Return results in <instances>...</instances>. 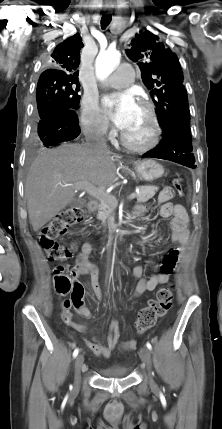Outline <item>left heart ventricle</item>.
Listing matches in <instances>:
<instances>
[{"label":"left heart ventricle","instance_id":"obj_1","mask_svg":"<svg viewBox=\"0 0 222 429\" xmlns=\"http://www.w3.org/2000/svg\"><path fill=\"white\" fill-rule=\"evenodd\" d=\"M124 132L135 143H143L148 140L150 121L146 110L142 106L137 105L136 111Z\"/></svg>","mask_w":222,"mask_h":429}]
</instances>
